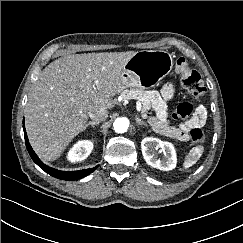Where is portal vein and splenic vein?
Returning a JSON list of instances; mask_svg holds the SVG:
<instances>
[{
    "label": "portal vein and splenic vein",
    "instance_id": "obj_1",
    "mask_svg": "<svg viewBox=\"0 0 243 243\" xmlns=\"http://www.w3.org/2000/svg\"><path fill=\"white\" fill-rule=\"evenodd\" d=\"M126 101H127V100H126ZM136 109H137L138 112L141 111V109H142V105H141V102H140V101H137V102H136Z\"/></svg>",
    "mask_w": 243,
    "mask_h": 243
}]
</instances>
